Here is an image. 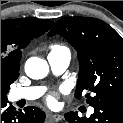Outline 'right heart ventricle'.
<instances>
[{
	"label": "right heart ventricle",
	"mask_w": 123,
	"mask_h": 123,
	"mask_svg": "<svg viewBox=\"0 0 123 123\" xmlns=\"http://www.w3.org/2000/svg\"><path fill=\"white\" fill-rule=\"evenodd\" d=\"M61 49H66V48H64V47H62L60 45H53L52 46V51H57V50H61Z\"/></svg>",
	"instance_id": "e07e8e85"
}]
</instances>
